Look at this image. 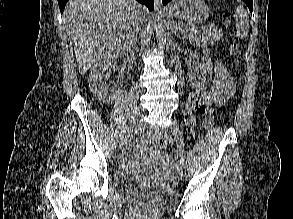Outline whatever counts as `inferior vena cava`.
Segmentation results:
<instances>
[{"label": "inferior vena cava", "mask_w": 293, "mask_h": 219, "mask_svg": "<svg viewBox=\"0 0 293 219\" xmlns=\"http://www.w3.org/2000/svg\"><path fill=\"white\" fill-rule=\"evenodd\" d=\"M142 24H143L142 19L139 16L136 15L135 18H134V22H133V27L135 28V32L138 33L140 31ZM136 41H137V37L135 36L134 43Z\"/></svg>", "instance_id": "obj_1"}]
</instances>
